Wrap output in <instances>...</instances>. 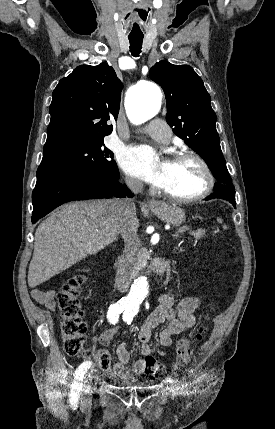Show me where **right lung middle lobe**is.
Listing matches in <instances>:
<instances>
[{
    "label": "right lung middle lobe",
    "mask_w": 275,
    "mask_h": 429,
    "mask_svg": "<svg viewBox=\"0 0 275 429\" xmlns=\"http://www.w3.org/2000/svg\"><path fill=\"white\" fill-rule=\"evenodd\" d=\"M113 152L104 146L103 140L88 144H69L44 153L37 170L36 186L61 176L71 174H102L119 176Z\"/></svg>",
    "instance_id": "1"
}]
</instances>
